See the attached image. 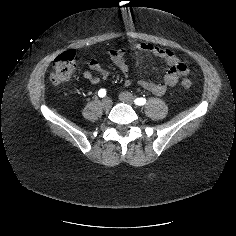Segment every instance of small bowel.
Segmentation results:
<instances>
[{
	"mask_svg": "<svg viewBox=\"0 0 236 236\" xmlns=\"http://www.w3.org/2000/svg\"><path fill=\"white\" fill-rule=\"evenodd\" d=\"M134 49L146 52L154 57L161 59L167 66L168 71L161 82L151 80H139V85L145 90L155 94L163 95L171 87H174L179 79L189 73L188 65L181 60L173 51L167 48L158 47L152 43L141 42L134 44ZM114 64L124 75V85L131 86L133 79L130 76V66L125 57L126 49L123 47L114 48L108 51ZM90 70L83 72V77L91 84L96 85L109 77L110 72L103 69L97 58L94 56L88 63Z\"/></svg>",
	"mask_w": 236,
	"mask_h": 236,
	"instance_id": "obj_1",
	"label": "small bowel"
}]
</instances>
